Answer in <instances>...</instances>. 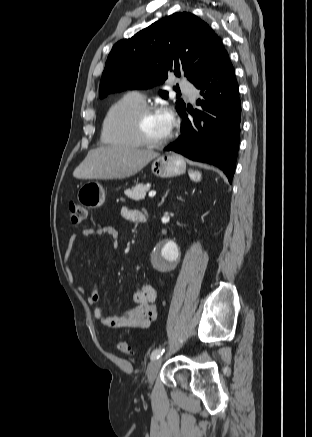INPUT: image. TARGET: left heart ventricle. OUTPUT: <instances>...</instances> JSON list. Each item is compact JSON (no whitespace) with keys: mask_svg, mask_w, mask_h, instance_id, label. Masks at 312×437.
<instances>
[{"mask_svg":"<svg viewBox=\"0 0 312 437\" xmlns=\"http://www.w3.org/2000/svg\"><path fill=\"white\" fill-rule=\"evenodd\" d=\"M142 127L146 136L152 140H163L169 134V132L166 130L160 112L147 115L143 119Z\"/></svg>","mask_w":312,"mask_h":437,"instance_id":"1","label":"left heart ventricle"}]
</instances>
